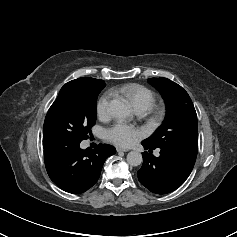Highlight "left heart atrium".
I'll return each instance as SVG.
<instances>
[{
  "label": "left heart atrium",
  "mask_w": 237,
  "mask_h": 237,
  "mask_svg": "<svg viewBox=\"0 0 237 237\" xmlns=\"http://www.w3.org/2000/svg\"><path fill=\"white\" fill-rule=\"evenodd\" d=\"M142 137V132L128 124L118 122L106 130V138L120 147H129Z\"/></svg>",
  "instance_id": "left-heart-atrium-1"
}]
</instances>
